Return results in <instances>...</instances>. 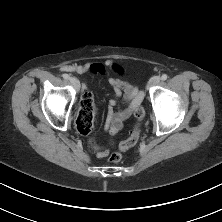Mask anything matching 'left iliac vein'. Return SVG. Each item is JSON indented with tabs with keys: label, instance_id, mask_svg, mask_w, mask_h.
Masks as SVG:
<instances>
[{
	"label": "left iliac vein",
	"instance_id": "1",
	"mask_svg": "<svg viewBox=\"0 0 222 222\" xmlns=\"http://www.w3.org/2000/svg\"><path fill=\"white\" fill-rule=\"evenodd\" d=\"M159 82H160V77L154 76L149 80L148 86L149 87L155 86V85L159 84Z\"/></svg>",
	"mask_w": 222,
	"mask_h": 222
}]
</instances>
